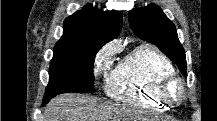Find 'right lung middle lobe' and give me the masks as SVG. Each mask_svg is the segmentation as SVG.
Returning <instances> with one entry per match:
<instances>
[{"label":"right lung middle lobe","instance_id":"right-lung-middle-lobe-1","mask_svg":"<svg viewBox=\"0 0 217 121\" xmlns=\"http://www.w3.org/2000/svg\"><path fill=\"white\" fill-rule=\"evenodd\" d=\"M100 48L96 42L56 44L43 100L66 92H89L94 87L93 62Z\"/></svg>","mask_w":217,"mask_h":121}]
</instances>
